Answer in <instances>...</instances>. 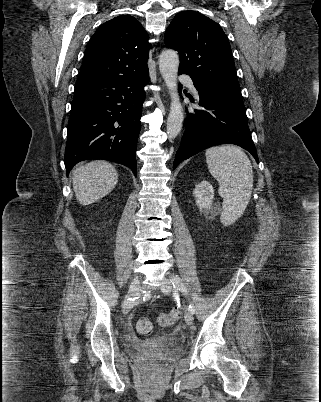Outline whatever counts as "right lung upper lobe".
Masks as SVG:
<instances>
[{"label": "right lung upper lobe", "mask_w": 321, "mask_h": 402, "mask_svg": "<svg viewBox=\"0 0 321 402\" xmlns=\"http://www.w3.org/2000/svg\"><path fill=\"white\" fill-rule=\"evenodd\" d=\"M148 39L142 25L132 16L122 15L105 22L88 43L75 85L148 72Z\"/></svg>", "instance_id": "1"}]
</instances>
